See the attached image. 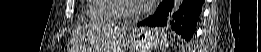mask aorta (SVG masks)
<instances>
[{
	"label": "aorta",
	"instance_id": "obj_1",
	"mask_svg": "<svg viewBox=\"0 0 261 52\" xmlns=\"http://www.w3.org/2000/svg\"><path fill=\"white\" fill-rule=\"evenodd\" d=\"M182 2H183V0H175L174 1L171 12L168 15V21L171 20L173 13H176L179 10L180 6L182 5Z\"/></svg>",
	"mask_w": 261,
	"mask_h": 52
}]
</instances>
